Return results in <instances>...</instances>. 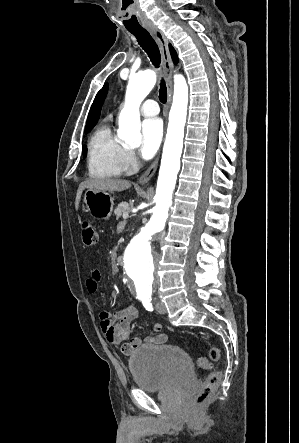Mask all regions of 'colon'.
I'll list each match as a JSON object with an SVG mask.
<instances>
[{"label": "colon", "mask_w": 299, "mask_h": 443, "mask_svg": "<svg viewBox=\"0 0 299 443\" xmlns=\"http://www.w3.org/2000/svg\"><path fill=\"white\" fill-rule=\"evenodd\" d=\"M81 237L83 244L87 247L94 246L98 241V234L94 225L89 221H83L80 226ZM221 357V350L214 347L210 350L208 356H201L198 358L197 366L202 370H207L217 362ZM222 379V372L220 370H214L207 376L201 391L195 398L196 405H204L208 402L211 396L218 388Z\"/></svg>", "instance_id": "colon-1"}]
</instances>
